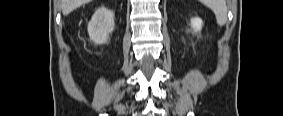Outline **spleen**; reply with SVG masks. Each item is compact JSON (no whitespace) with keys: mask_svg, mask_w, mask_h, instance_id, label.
Here are the masks:
<instances>
[{"mask_svg":"<svg viewBox=\"0 0 283 116\" xmlns=\"http://www.w3.org/2000/svg\"><path fill=\"white\" fill-rule=\"evenodd\" d=\"M203 4L213 11L219 26L226 24L228 10L225 0H204Z\"/></svg>","mask_w":283,"mask_h":116,"instance_id":"1","label":"spleen"}]
</instances>
